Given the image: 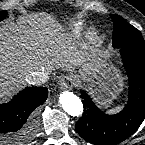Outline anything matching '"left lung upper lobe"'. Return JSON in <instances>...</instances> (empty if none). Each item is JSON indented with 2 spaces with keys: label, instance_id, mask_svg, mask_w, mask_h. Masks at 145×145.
<instances>
[{
  "label": "left lung upper lobe",
  "instance_id": "obj_1",
  "mask_svg": "<svg viewBox=\"0 0 145 145\" xmlns=\"http://www.w3.org/2000/svg\"><path fill=\"white\" fill-rule=\"evenodd\" d=\"M113 20V46L128 47L145 52V41L135 27L128 24L121 16L111 14Z\"/></svg>",
  "mask_w": 145,
  "mask_h": 145
}]
</instances>
